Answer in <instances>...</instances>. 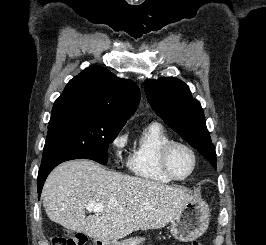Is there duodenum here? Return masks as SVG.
<instances>
[{
	"mask_svg": "<svg viewBox=\"0 0 266 245\" xmlns=\"http://www.w3.org/2000/svg\"><path fill=\"white\" fill-rule=\"evenodd\" d=\"M93 245H112L111 237H93Z\"/></svg>",
	"mask_w": 266,
	"mask_h": 245,
	"instance_id": "duodenum-1",
	"label": "duodenum"
}]
</instances>
